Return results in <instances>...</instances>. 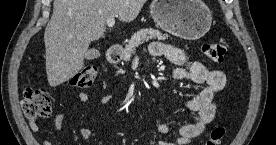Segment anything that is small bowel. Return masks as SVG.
Wrapping results in <instances>:
<instances>
[{
	"mask_svg": "<svg viewBox=\"0 0 276 145\" xmlns=\"http://www.w3.org/2000/svg\"><path fill=\"white\" fill-rule=\"evenodd\" d=\"M150 54L152 56H165L175 66L173 78L176 81H187L195 85H204L203 89L197 95L187 99L184 106L193 113L190 122L181 126L178 134L171 143L153 142L152 145H187L198 137L205 127L214 119L216 113L215 94L222 90L226 84L225 74L220 70H210L203 63L191 61L186 54L175 47L164 44L163 42H153L150 45ZM78 99L83 104L89 103V96L85 92L78 94ZM112 95H103L95 103L97 106L107 105L113 101ZM63 126V116L58 114L54 119L56 131H60ZM33 132L39 131V125L36 122L30 123ZM157 129L161 133H167L168 127L158 124ZM79 135L85 140L93 137L94 132L89 128H81ZM44 145H51L49 141H44Z\"/></svg>",
	"mask_w": 276,
	"mask_h": 145,
	"instance_id": "1",
	"label": "small bowel"
}]
</instances>
